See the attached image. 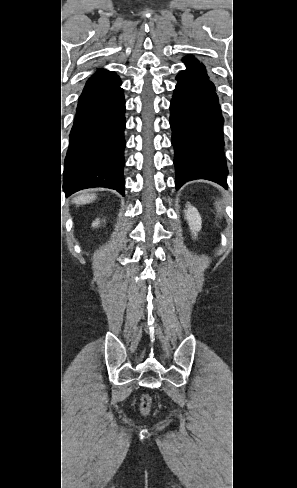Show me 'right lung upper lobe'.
Returning <instances> with one entry per match:
<instances>
[{
    "instance_id": "right-lung-upper-lobe-1",
    "label": "right lung upper lobe",
    "mask_w": 297,
    "mask_h": 488,
    "mask_svg": "<svg viewBox=\"0 0 297 488\" xmlns=\"http://www.w3.org/2000/svg\"><path fill=\"white\" fill-rule=\"evenodd\" d=\"M116 77V73L107 70H100L95 75H93L86 83L84 90L80 97L89 95L99 89L103 84L112 78Z\"/></svg>"
}]
</instances>
